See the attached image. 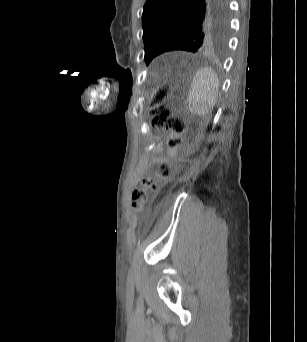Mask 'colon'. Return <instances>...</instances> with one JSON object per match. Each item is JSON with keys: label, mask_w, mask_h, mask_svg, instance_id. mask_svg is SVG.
I'll return each instance as SVG.
<instances>
[{"label": "colon", "mask_w": 307, "mask_h": 342, "mask_svg": "<svg viewBox=\"0 0 307 342\" xmlns=\"http://www.w3.org/2000/svg\"><path fill=\"white\" fill-rule=\"evenodd\" d=\"M153 123L156 128L164 129L169 132L167 144L169 154L174 156L182 143L181 135L186 130L185 122L174 114L165 104L167 94H171V87H151ZM173 173L172 165L168 161L159 164L157 177L146 176L142 180L141 186L136 187L132 192L134 208L141 211L149 204V194L158 192L159 179H168Z\"/></svg>", "instance_id": "1"}]
</instances>
